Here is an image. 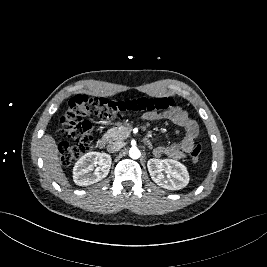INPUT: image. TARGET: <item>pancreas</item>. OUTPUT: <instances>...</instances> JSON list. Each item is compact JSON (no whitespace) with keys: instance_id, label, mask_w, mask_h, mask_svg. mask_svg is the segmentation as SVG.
<instances>
[{"instance_id":"cf45deb5","label":"pancreas","mask_w":267,"mask_h":267,"mask_svg":"<svg viewBox=\"0 0 267 267\" xmlns=\"http://www.w3.org/2000/svg\"><path fill=\"white\" fill-rule=\"evenodd\" d=\"M131 132V128L119 126L108 129L103 137L107 140H124Z\"/></svg>"}]
</instances>
